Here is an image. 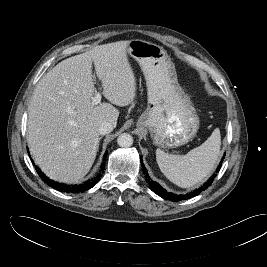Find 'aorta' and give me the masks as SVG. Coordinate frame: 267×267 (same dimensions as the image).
I'll list each match as a JSON object with an SVG mask.
<instances>
[{
    "label": "aorta",
    "instance_id": "1",
    "mask_svg": "<svg viewBox=\"0 0 267 267\" xmlns=\"http://www.w3.org/2000/svg\"><path fill=\"white\" fill-rule=\"evenodd\" d=\"M117 143L120 147H130L133 144V137L128 133H123L118 137Z\"/></svg>",
    "mask_w": 267,
    "mask_h": 267
}]
</instances>
